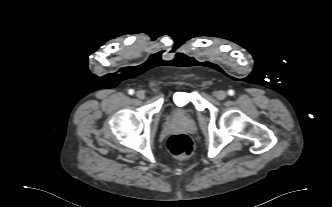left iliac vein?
I'll use <instances>...</instances> for the list:
<instances>
[{
    "mask_svg": "<svg viewBox=\"0 0 332 207\" xmlns=\"http://www.w3.org/2000/svg\"><path fill=\"white\" fill-rule=\"evenodd\" d=\"M215 97L218 99V100H223L227 97V93L223 90H220V91H217L215 93Z\"/></svg>",
    "mask_w": 332,
    "mask_h": 207,
    "instance_id": "obj_1",
    "label": "left iliac vein"
}]
</instances>
